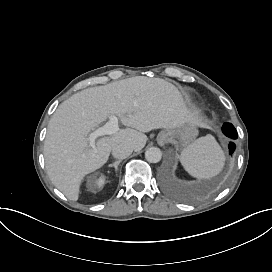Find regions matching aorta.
Here are the masks:
<instances>
[{"instance_id": "762f6f07", "label": "aorta", "mask_w": 272, "mask_h": 272, "mask_svg": "<svg viewBox=\"0 0 272 272\" xmlns=\"http://www.w3.org/2000/svg\"><path fill=\"white\" fill-rule=\"evenodd\" d=\"M145 158L150 163H158L162 159L161 150L157 147H151L145 152Z\"/></svg>"}]
</instances>
